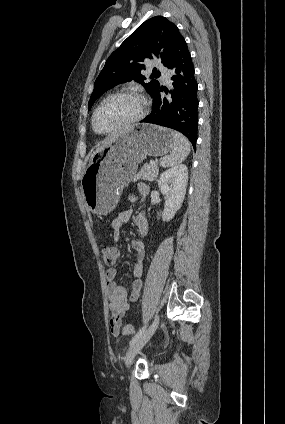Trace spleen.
Segmentation results:
<instances>
[{
    "label": "spleen",
    "instance_id": "1",
    "mask_svg": "<svg viewBox=\"0 0 285 424\" xmlns=\"http://www.w3.org/2000/svg\"><path fill=\"white\" fill-rule=\"evenodd\" d=\"M174 145L169 155L160 159L163 167L176 166L182 163L191 151L190 142L179 132L173 131Z\"/></svg>",
    "mask_w": 285,
    "mask_h": 424
}]
</instances>
